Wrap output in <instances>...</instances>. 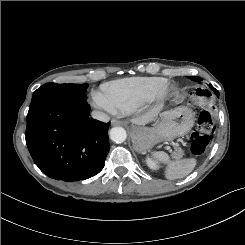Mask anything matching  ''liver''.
Returning a JSON list of instances; mask_svg holds the SVG:
<instances>
[{"mask_svg": "<svg viewBox=\"0 0 245 245\" xmlns=\"http://www.w3.org/2000/svg\"><path fill=\"white\" fill-rule=\"evenodd\" d=\"M156 115H157V110H151L147 112L146 114L133 119L132 122L137 125H145L151 122L156 117Z\"/></svg>", "mask_w": 245, "mask_h": 245, "instance_id": "liver-1", "label": "liver"}]
</instances>
